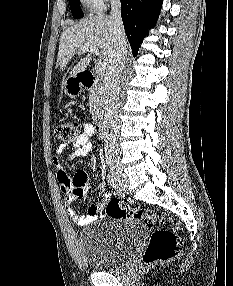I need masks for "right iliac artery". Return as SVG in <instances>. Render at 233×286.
<instances>
[{
    "label": "right iliac artery",
    "instance_id": "1",
    "mask_svg": "<svg viewBox=\"0 0 233 286\" xmlns=\"http://www.w3.org/2000/svg\"><path fill=\"white\" fill-rule=\"evenodd\" d=\"M108 182L112 188H114V189L118 188L117 180L112 173L108 174Z\"/></svg>",
    "mask_w": 233,
    "mask_h": 286
}]
</instances>
